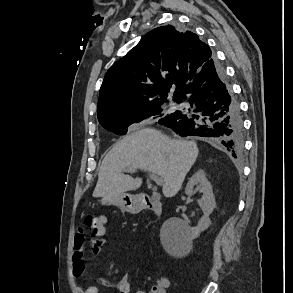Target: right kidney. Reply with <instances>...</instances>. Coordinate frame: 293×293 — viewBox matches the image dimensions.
<instances>
[{
	"instance_id": "right-kidney-1",
	"label": "right kidney",
	"mask_w": 293,
	"mask_h": 293,
	"mask_svg": "<svg viewBox=\"0 0 293 293\" xmlns=\"http://www.w3.org/2000/svg\"><path fill=\"white\" fill-rule=\"evenodd\" d=\"M195 187H198L199 192L203 194L197 202L204 216L200 219L196 228H190L188 223L180 221L178 218H171L165 223L161 230V243L165 251L171 255H177L181 249L190 247L192 240L197 238L211 224L209 215L213 212L216 202L212 186L204 172L199 171L190 178L185 189L186 194L193 195ZM173 222H180V228L172 227Z\"/></svg>"
}]
</instances>
